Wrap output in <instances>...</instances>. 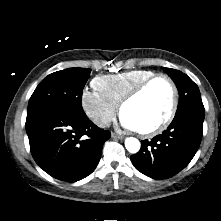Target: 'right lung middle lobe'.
Masks as SVG:
<instances>
[{
  "instance_id": "dd1d6c3e",
  "label": "right lung middle lobe",
  "mask_w": 221,
  "mask_h": 221,
  "mask_svg": "<svg viewBox=\"0 0 221 221\" xmlns=\"http://www.w3.org/2000/svg\"><path fill=\"white\" fill-rule=\"evenodd\" d=\"M90 72L87 68H68L45 77L29 99L27 115L57 108L83 111L81 97Z\"/></svg>"
}]
</instances>
